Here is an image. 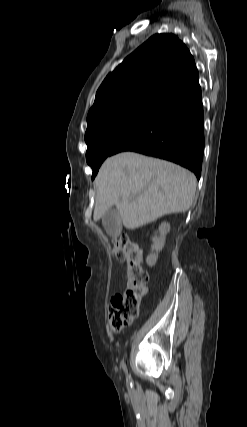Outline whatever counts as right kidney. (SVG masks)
Wrapping results in <instances>:
<instances>
[{"mask_svg":"<svg viewBox=\"0 0 247 427\" xmlns=\"http://www.w3.org/2000/svg\"><path fill=\"white\" fill-rule=\"evenodd\" d=\"M170 231V224L163 222L159 226V236L155 235L152 238V246H151V253L146 258V263L148 266L152 267L156 264L158 259V253L163 249L166 235Z\"/></svg>","mask_w":247,"mask_h":427,"instance_id":"ca27d5eb","label":"right kidney"}]
</instances>
